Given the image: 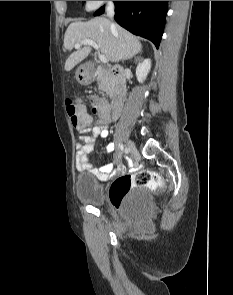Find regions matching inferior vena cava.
Here are the masks:
<instances>
[{
  "label": "inferior vena cava",
  "instance_id": "obj_1",
  "mask_svg": "<svg viewBox=\"0 0 233 295\" xmlns=\"http://www.w3.org/2000/svg\"><path fill=\"white\" fill-rule=\"evenodd\" d=\"M106 12H107V16L109 18H113L114 17V4L112 1H108L107 3V7H106ZM111 28L114 29L115 28V24L111 23Z\"/></svg>",
  "mask_w": 233,
  "mask_h": 295
}]
</instances>
